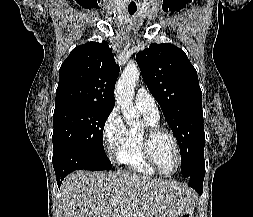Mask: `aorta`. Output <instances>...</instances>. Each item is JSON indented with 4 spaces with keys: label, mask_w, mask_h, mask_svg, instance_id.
Returning a JSON list of instances; mask_svg holds the SVG:
<instances>
[{
    "label": "aorta",
    "mask_w": 253,
    "mask_h": 217,
    "mask_svg": "<svg viewBox=\"0 0 253 217\" xmlns=\"http://www.w3.org/2000/svg\"><path fill=\"white\" fill-rule=\"evenodd\" d=\"M139 77L138 66L130 63L125 67L115 87L116 102L122 110L123 118L129 124L137 122L139 117V113L133 104L134 89Z\"/></svg>",
    "instance_id": "obj_1"
}]
</instances>
